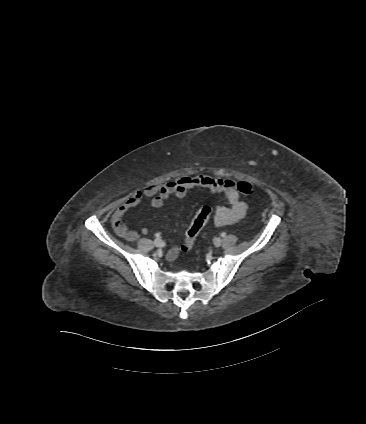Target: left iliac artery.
Returning a JSON list of instances; mask_svg holds the SVG:
<instances>
[{
	"mask_svg": "<svg viewBox=\"0 0 366 424\" xmlns=\"http://www.w3.org/2000/svg\"><path fill=\"white\" fill-rule=\"evenodd\" d=\"M221 236H222V237H225V236H226V233H225V232H222V233H221Z\"/></svg>",
	"mask_w": 366,
	"mask_h": 424,
	"instance_id": "obj_1",
	"label": "left iliac artery"
}]
</instances>
